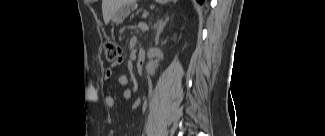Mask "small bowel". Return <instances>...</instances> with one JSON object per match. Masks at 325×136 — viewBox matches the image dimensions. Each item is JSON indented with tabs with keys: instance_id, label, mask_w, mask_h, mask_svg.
Instances as JSON below:
<instances>
[{
	"instance_id": "1",
	"label": "small bowel",
	"mask_w": 325,
	"mask_h": 136,
	"mask_svg": "<svg viewBox=\"0 0 325 136\" xmlns=\"http://www.w3.org/2000/svg\"><path fill=\"white\" fill-rule=\"evenodd\" d=\"M120 63L119 62H114L112 64L111 68H108L105 70L104 72V79L106 81L110 80L113 77V68L119 66ZM118 84L123 87V92H122V96L125 100H130L132 98V91L127 88L128 84H129V78L127 75L122 74L118 77ZM105 104L107 107L109 108H113L116 105V99L114 96L112 95H107L105 97ZM141 104L140 99H136L133 104L132 107L133 108H138Z\"/></svg>"
}]
</instances>
